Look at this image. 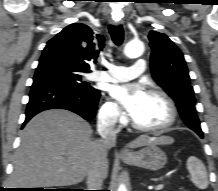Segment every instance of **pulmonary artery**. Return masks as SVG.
Listing matches in <instances>:
<instances>
[{
    "instance_id": "e3ab8cb5",
    "label": "pulmonary artery",
    "mask_w": 218,
    "mask_h": 191,
    "mask_svg": "<svg viewBox=\"0 0 218 191\" xmlns=\"http://www.w3.org/2000/svg\"><path fill=\"white\" fill-rule=\"evenodd\" d=\"M146 69V61L137 59L130 67L108 65L107 71H96L89 75L91 80L103 82H123L136 78Z\"/></svg>"
}]
</instances>
